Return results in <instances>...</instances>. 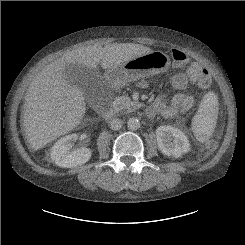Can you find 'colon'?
Segmentation results:
<instances>
[{
  "label": "colon",
  "instance_id": "1",
  "mask_svg": "<svg viewBox=\"0 0 245 245\" xmlns=\"http://www.w3.org/2000/svg\"><path fill=\"white\" fill-rule=\"evenodd\" d=\"M171 57L174 64L179 68H189L191 67L190 57L181 50L173 49L171 51ZM194 82L206 89L211 85V77L207 72L198 71L194 75ZM219 136L218 134H213L206 142H204L199 149V156L205 158L211 154V152L216 148Z\"/></svg>",
  "mask_w": 245,
  "mask_h": 245
}]
</instances>
